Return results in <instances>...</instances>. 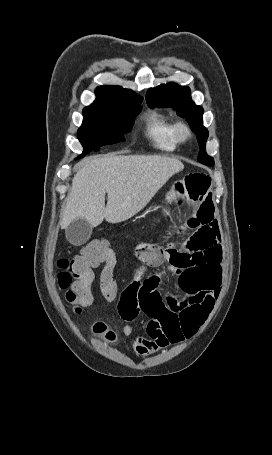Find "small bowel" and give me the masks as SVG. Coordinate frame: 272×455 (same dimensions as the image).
Returning <instances> with one entry per match:
<instances>
[{
    "label": "small bowel",
    "mask_w": 272,
    "mask_h": 455,
    "mask_svg": "<svg viewBox=\"0 0 272 455\" xmlns=\"http://www.w3.org/2000/svg\"><path fill=\"white\" fill-rule=\"evenodd\" d=\"M211 179L203 172H191L178 178L171 188V200H187L194 208L185 226L192 230L184 246L141 244L137 256L145 267L157 271L142 276L138 270L118 297V313L126 322L124 336L134 331L140 314L150 318L146 337H137L135 353L146 357L170 344L191 338L214 307L222 280V245L218 223L209 202ZM176 273L183 301L159 289L163 271Z\"/></svg>",
    "instance_id": "c3829d8e"
}]
</instances>
